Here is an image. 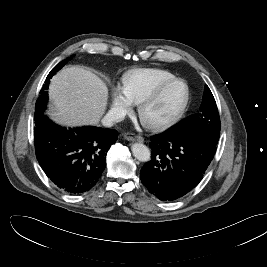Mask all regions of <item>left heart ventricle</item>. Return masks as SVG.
Masks as SVG:
<instances>
[{
    "label": "left heart ventricle",
    "instance_id": "left-heart-ventricle-1",
    "mask_svg": "<svg viewBox=\"0 0 267 267\" xmlns=\"http://www.w3.org/2000/svg\"><path fill=\"white\" fill-rule=\"evenodd\" d=\"M185 89L179 85L169 90L156 104L150 107L146 116L149 119H159L170 115L181 104Z\"/></svg>",
    "mask_w": 267,
    "mask_h": 267
}]
</instances>
